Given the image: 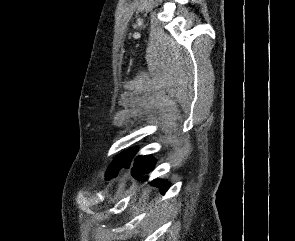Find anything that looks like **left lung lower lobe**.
I'll return each instance as SVG.
<instances>
[{
	"label": "left lung lower lobe",
	"mask_w": 295,
	"mask_h": 241,
	"mask_svg": "<svg viewBox=\"0 0 295 241\" xmlns=\"http://www.w3.org/2000/svg\"><path fill=\"white\" fill-rule=\"evenodd\" d=\"M156 160L151 155L140 156L135 159L133 166L131 167L132 176L140 181H146L148 176L146 174L154 168ZM126 166L125 168H128ZM151 185L160 188L161 193H165L169 188V183L164 180H153Z\"/></svg>",
	"instance_id": "left-lung-lower-lobe-1"
}]
</instances>
